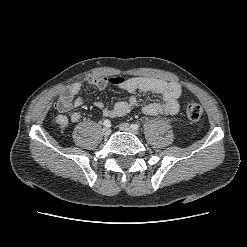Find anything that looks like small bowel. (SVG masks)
Here are the masks:
<instances>
[{"mask_svg": "<svg viewBox=\"0 0 247 247\" xmlns=\"http://www.w3.org/2000/svg\"><path fill=\"white\" fill-rule=\"evenodd\" d=\"M89 83L100 90L105 89L108 85H115L131 94L127 100L118 101L113 107L106 106L102 101L94 102V106L101 109L106 117L115 118L127 115L137 105L138 100L134 95L137 91L155 93L161 97V101L148 100L142 108L143 113L146 115L173 116L180 110L182 89L177 82L152 77L124 78L113 76L92 78ZM81 89L82 83L74 82L58 97L55 103L57 114L54 117V121L60 127H66L69 121L76 123L81 119V114L76 111L72 112L70 117L65 114L73 108H79L84 105L85 100L79 96Z\"/></svg>", "mask_w": 247, "mask_h": 247, "instance_id": "small-bowel-1", "label": "small bowel"}]
</instances>
